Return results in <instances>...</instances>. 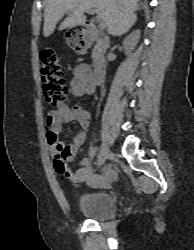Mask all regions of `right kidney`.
Masks as SVG:
<instances>
[{
	"mask_svg": "<svg viewBox=\"0 0 194 250\" xmlns=\"http://www.w3.org/2000/svg\"><path fill=\"white\" fill-rule=\"evenodd\" d=\"M140 38V31L136 30L127 36L123 41V47L125 49V54L129 55L131 51L135 48Z\"/></svg>",
	"mask_w": 194,
	"mask_h": 250,
	"instance_id": "1",
	"label": "right kidney"
}]
</instances>
